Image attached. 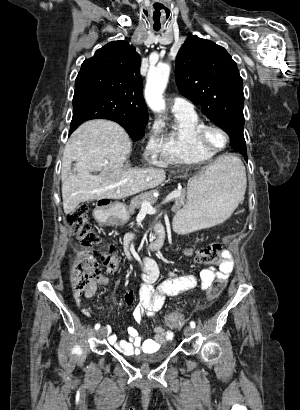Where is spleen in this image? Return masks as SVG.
I'll return each instance as SVG.
<instances>
[{
  "label": "spleen",
  "instance_id": "spleen-1",
  "mask_svg": "<svg viewBox=\"0 0 300 410\" xmlns=\"http://www.w3.org/2000/svg\"><path fill=\"white\" fill-rule=\"evenodd\" d=\"M228 168L236 169V173L238 176V185L241 190L240 199H239V202H240L243 198V195L246 189L245 167L238 158L232 157L228 163Z\"/></svg>",
  "mask_w": 300,
  "mask_h": 410
}]
</instances>
